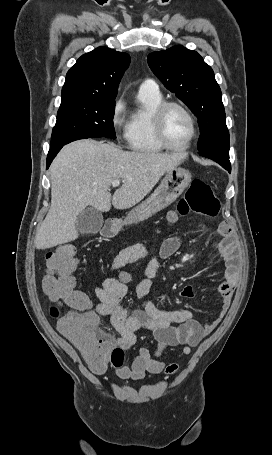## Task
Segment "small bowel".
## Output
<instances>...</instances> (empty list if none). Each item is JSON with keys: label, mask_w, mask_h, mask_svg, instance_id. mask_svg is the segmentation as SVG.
Returning <instances> with one entry per match:
<instances>
[{"label": "small bowel", "mask_w": 272, "mask_h": 455, "mask_svg": "<svg viewBox=\"0 0 272 455\" xmlns=\"http://www.w3.org/2000/svg\"><path fill=\"white\" fill-rule=\"evenodd\" d=\"M220 239L214 242V247L225 264L224 281L218 286L220 294V308L216 318L202 324L193 318L191 311L186 309L165 310L147 298L153 278L156 275L158 258L166 259L172 256L181 246V239L176 236L166 238L160 245L158 255H153L145 269L144 278L136 287V296L142 307L132 311L122 305V300L127 294V283L121 273L106 278L95 289L99 300L95 309L90 311L97 315L108 316L118 333V343L128 348L137 342L138 331H149L157 340V348L152 353L148 348L142 347L132 364H123L116 368L118 376L125 380H140L147 373L172 375L178 371V364L166 363L159 359L167 347H181L183 355H189L191 348L196 346L202 338L211 333L221 319L225 316L233 295L238 285L240 269L237 245L231 227L222 223L218 228ZM149 252L145 244H139L118 253L111 264V271L118 272L126 265L136 261ZM181 296L192 298L194 290L185 286Z\"/></svg>", "instance_id": "small-bowel-1"}]
</instances>
